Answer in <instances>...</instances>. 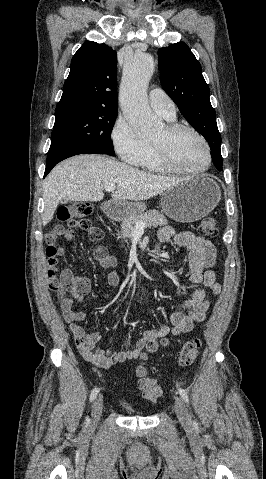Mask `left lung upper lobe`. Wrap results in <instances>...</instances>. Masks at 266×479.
Masks as SVG:
<instances>
[{"label": "left lung upper lobe", "mask_w": 266, "mask_h": 479, "mask_svg": "<svg viewBox=\"0 0 266 479\" xmlns=\"http://www.w3.org/2000/svg\"><path fill=\"white\" fill-rule=\"evenodd\" d=\"M158 57L162 88L185 119L207 140L213 164L221 171V135L200 63L184 42L160 48Z\"/></svg>", "instance_id": "left-lung-upper-lobe-1"}]
</instances>
